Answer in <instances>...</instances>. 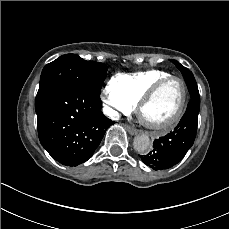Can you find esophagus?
<instances>
[{
  "mask_svg": "<svg viewBox=\"0 0 229 229\" xmlns=\"http://www.w3.org/2000/svg\"><path fill=\"white\" fill-rule=\"evenodd\" d=\"M124 127L130 135H136L138 133V130L131 127L130 125L125 124Z\"/></svg>",
  "mask_w": 229,
  "mask_h": 229,
  "instance_id": "1",
  "label": "esophagus"
}]
</instances>
